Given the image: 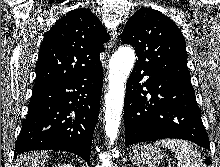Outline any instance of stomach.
<instances>
[{
	"label": "stomach",
	"instance_id": "1",
	"mask_svg": "<svg viewBox=\"0 0 220 167\" xmlns=\"http://www.w3.org/2000/svg\"><path fill=\"white\" fill-rule=\"evenodd\" d=\"M161 150L157 147L144 145L133 149L131 161L138 167H158L162 161Z\"/></svg>",
	"mask_w": 220,
	"mask_h": 167
}]
</instances>
